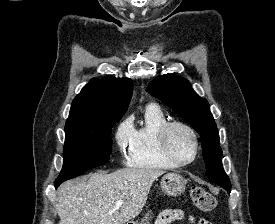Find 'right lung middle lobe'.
Masks as SVG:
<instances>
[{
    "instance_id": "right-lung-middle-lobe-1",
    "label": "right lung middle lobe",
    "mask_w": 275,
    "mask_h": 224,
    "mask_svg": "<svg viewBox=\"0 0 275 224\" xmlns=\"http://www.w3.org/2000/svg\"><path fill=\"white\" fill-rule=\"evenodd\" d=\"M118 120L66 125L63 168L55 183L106 163L112 150L111 128Z\"/></svg>"
}]
</instances>
